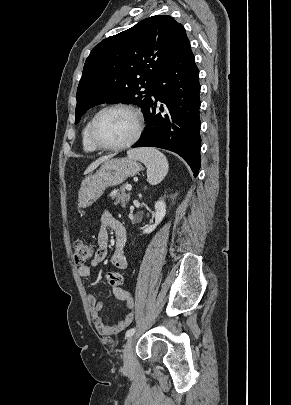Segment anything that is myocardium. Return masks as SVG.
I'll return each mask as SVG.
<instances>
[{"instance_id":"obj_1","label":"myocardium","mask_w":291,"mask_h":405,"mask_svg":"<svg viewBox=\"0 0 291 405\" xmlns=\"http://www.w3.org/2000/svg\"><path fill=\"white\" fill-rule=\"evenodd\" d=\"M111 110H125L130 112L134 118H135V122H136V130L133 134V136L127 140L126 142L122 143V144H118V145H106L101 143L97 138H96V134H95V126L97 123V120L99 119V117L107 112V111H111ZM143 127H144V120H143V116L142 113L140 112V110L132 105L129 104H124V103H115V104H110L107 105L103 108H101L90 120L89 122V127H88V137L89 140L91 142V144L99 150H104V151H120V150H124L127 149L129 147H131L133 144H135L138 139L140 138L142 132H143Z\"/></svg>"}]
</instances>
